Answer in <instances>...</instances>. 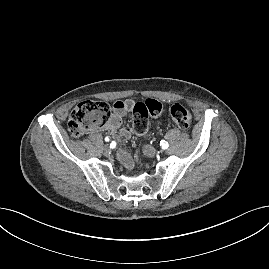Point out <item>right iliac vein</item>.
Listing matches in <instances>:
<instances>
[{
	"mask_svg": "<svg viewBox=\"0 0 269 269\" xmlns=\"http://www.w3.org/2000/svg\"><path fill=\"white\" fill-rule=\"evenodd\" d=\"M110 150H111L110 146L108 144H105L104 145V151L108 153V152H110Z\"/></svg>",
	"mask_w": 269,
	"mask_h": 269,
	"instance_id": "right-iliac-vein-1",
	"label": "right iliac vein"
}]
</instances>
